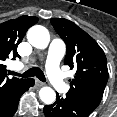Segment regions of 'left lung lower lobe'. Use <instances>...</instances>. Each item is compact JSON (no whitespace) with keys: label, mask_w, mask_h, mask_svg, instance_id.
I'll return each mask as SVG.
<instances>
[{"label":"left lung lower lobe","mask_w":117,"mask_h":117,"mask_svg":"<svg viewBox=\"0 0 117 117\" xmlns=\"http://www.w3.org/2000/svg\"><path fill=\"white\" fill-rule=\"evenodd\" d=\"M92 112L67 94L65 98L57 94L56 102L44 107L46 117H88Z\"/></svg>","instance_id":"0a47b994"}]
</instances>
